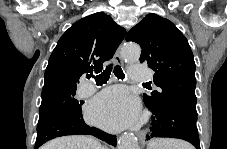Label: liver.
I'll return each instance as SVG.
<instances>
[{
    "instance_id": "obj_1",
    "label": "liver",
    "mask_w": 227,
    "mask_h": 149,
    "mask_svg": "<svg viewBox=\"0 0 227 149\" xmlns=\"http://www.w3.org/2000/svg\"><path fill=\"white\" fill-rule=\"evenodd\" d=\"M41 149H103L98 140L91 136L72 135L53 139Z\"/></svg>"
}]
</instances>
